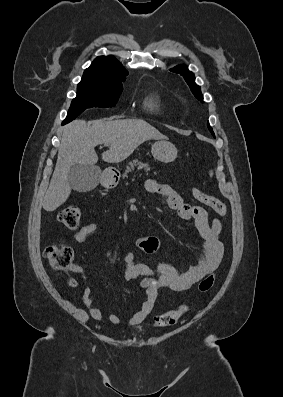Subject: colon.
<instances>
[{
  "label": "colon",
  "instance_id": "1",
  "mask_svg": "<svg viewBox=\"0 0 283 397\" xmlns=\"http://www.w3.org/2000/svg\"><path fill=\"white\" fill-rule=\"evenodd\" d=\"M194 198L200 203L212 208L220 216L226 215L225 204L217 197L209 195L198 188L192 189ZM81 209L77 205H70L63 208L58 214V220L66 227L75 228L79 225ZM44 256L50 266L57 271H66L70 268L73 261V250L67 244H54L48 246L44 251ZM216 282L215 275L206 276L198 285L200 293L209 292ZM72 283V282H70ZM188 311L187 305H181L176 309L167 311L156 317L155 323L159 327H167L175 324L185 312Z\"/></svg>",
  "mask_w": 283,
  "mask_h": 397
}]
</instances>
